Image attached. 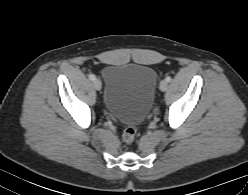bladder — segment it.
<instances>
[{
	"label": "bladder",
	"instance_id": "1",
	"mask_svg": "<svg viewBox=\"0 0 248 195\" xmlns=\"http://www.w3.org/2000/svg\"><path fill=\"white\" fill-rule=\"evenodd\" d=\"M105 108L129 126L140 123L150 110L156 71L142 64L108 65L103 70Z\"/></svg>",
	"mask_w": 248,
	"mask_h": 195
}]
</instances>
